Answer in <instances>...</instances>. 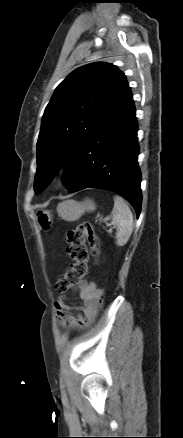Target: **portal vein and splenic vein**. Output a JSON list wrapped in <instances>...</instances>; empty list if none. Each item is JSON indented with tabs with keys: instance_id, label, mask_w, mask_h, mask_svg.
I'll return each mask as SVG.
<instances>
[{
	"instance_id": "portal-vein-and-splenic-vein-1",
	"label": "portal vein and splenic vein",
	"mask_w": 183,
	"mask_h": 438,
	"mask_svg": "<svg viewBox=\"0 0 183 438\" xmlns=\"http://www.w3.org/2000/svg\"><path fill=\"white\" fill-rule=\"evenodd\" d=\"M108 221H109V218H104V219H103V222H105L106 225H109V224H108Z\"/></svg>"
}]
</instances>
